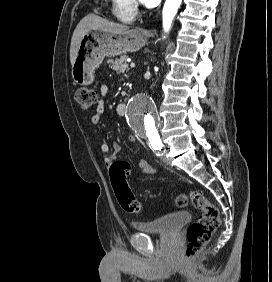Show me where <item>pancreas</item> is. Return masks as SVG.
<instances>
[{
  "instance_id": "1",
  "label": "pancreas",
  "mask_w": 272,
  "mask_h": 282,
  "mask_svg": "<svg viewBox=\"0 0 272 282\" xmlns=\"http://www.w3.org/2000/svg\"><path fill=\"white\" fill-rule=\"evenodd\" d=\"M127 56L123 55L120 58L115 60L109 59L107 61L109 67L114 69L118 73H123L125 70H128Z\"/></svg>"
}]
</instances>
